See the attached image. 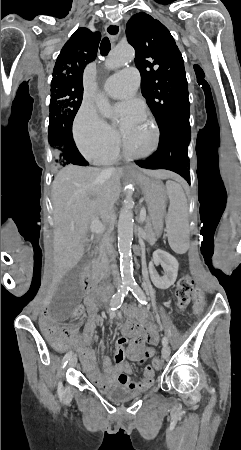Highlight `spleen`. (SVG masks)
<instances>
[{"label":"spleen","instance_id":"1","mask_svg":"<svg viewBox=\"0 0 241 450\" xmlns=\"http://www.w3.org/2000/svg\"><path fill=\"white\" fill-rule=\"evenodd\" d=\"M166 190L170 202H168V211H187L185 192L177 182H166ZM189 224L187 212H169L168 213V243L176 254H186L189 248V230L186 228Z\"/></svg>","mask_w":241,"mask_h":450}]
</instances>
